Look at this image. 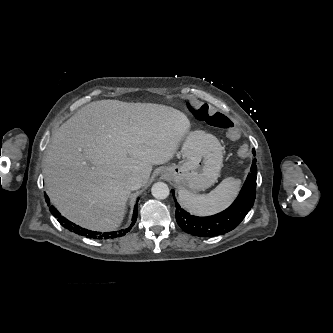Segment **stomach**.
Segmentation results:
<instances>
[{"label": "stomach", "mask_w": 333, "mask_h": 333, "mask_svg": "<svg viewBox=\"0 0 333 333\" xmlns=\"http://www.w3.org/2000/svg\"><path fill=\"white\" fill-rule=\"evenodd\" d=\"M181 152L185 162L163 168L162 176L194 193L204 191L216 182L222 168L223 148L214 135L201 130L190 132Z\"/></svg>", "instance_id": "0dacf381"}]
</instances>
